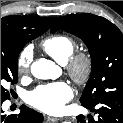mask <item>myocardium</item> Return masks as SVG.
I'll return each mask as SVG.
<instances>
[{
  "instance_id": "f54148a6",
  "label": "myocardium",
  "mask_w": 123,
  "mask_h": 123,
  "mask_svg": "<svg viewBox=\"0 0 123 123\" xmlns=\"http://www.w3.org/2000/svg\"><path fill=\"white\" fill-rule=\"evenodd\" d=\"M65 67L71 78L77 84L83 85L93 73L94 62L89 53L75 52L68 58Z\"/></svg>"
}]
</instances>
